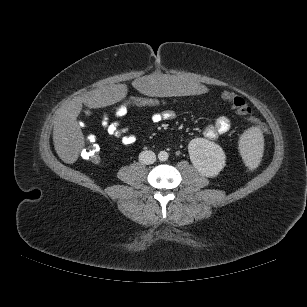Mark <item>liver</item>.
Listing matches in <instances>:
<instances>
[{"instance_id":"6515ba94","label":"liver","mask_w":307,"mask_h":307,"mask_svg":"<svg viewBox=\"0 0 307 307\" xmlns=\"http://www.w3.org/2000/svg\"><path fill=\"white\" fill-rule=\"evenodd\" d=\"M134 89L150 99H157L161 95H202L206 92L207 85L198 79L181 81L173 75L153 74L137 77ZM126 93L127 87L124 84L91 90L82 96L74 97L58 111L53 127V142L62 161L68 164L76 162L84 147V135L77 123L83 104L94 109L106 107L123 99Z\"/></svg>"}]
</instances>
